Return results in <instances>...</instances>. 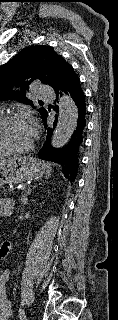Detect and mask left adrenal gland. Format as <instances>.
I'll return each instance as SVG.
<instances>
[{
	"label": "left adrenal gland",
	"instance_id": "left-adrenal-gland-1",
	"mask_svg": "<svg viewBox=\"0 0 118 320\" xmlns=\"http://www.w3.org/2000/svg\"><path fill=\"white\" fill-rule=\"evenodd\" d=\"M38 185H41V183L39 184H35L33 186H28V188L24 191V194H22L21 197V204L25 205L28 202V195H30V193L32 192L33 189H35Z\"/></svg>",
	"mask_w": 118,
	"mask_h": 320
}]
</instances>
